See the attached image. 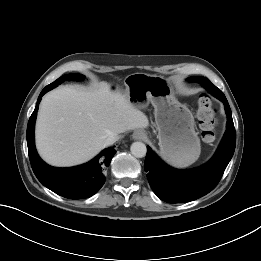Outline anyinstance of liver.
<instances>
[{"mask_svg":"<svg viewBox=\"0 0 261 261\" xmlns=\"http://www.w3.org/2000/svg\"><path fill=\"white\" fill-rule=\"evenodd\" d=\"M148 126L147 116L106 83L91 89L63 86L41 101L36 148L50 165L74 166L103 150L108 136Z\"/></svg>","mask_w":261,"mask_h":261,"instance_id":"6515ba94","label":"liver"}]
</instances>
